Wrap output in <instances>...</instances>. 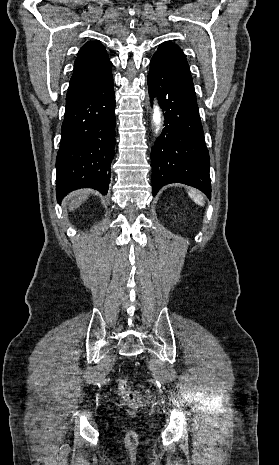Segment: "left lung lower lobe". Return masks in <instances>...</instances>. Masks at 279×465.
Segmentation results:
<instances>
[{"label": "left lung lower lobe", "instance_id": "obj_1", "mask_svg": "<svg viewBox=\"0 0 279 465\" xmlns=\"http://www.w3.org/2000/svg\"><path fill=\"white\" fill-rule=\"evenodd\" d=\"M147 80L150 97H159L165 111V128L151 152L153 195L166 184L183 183L210 198L209 154L189 66L154 55Z\"/></svg>", "mask_w": 279, "mask_h": 465}]
</instances>
